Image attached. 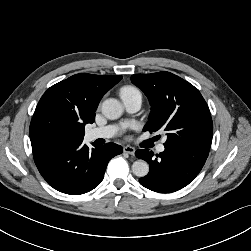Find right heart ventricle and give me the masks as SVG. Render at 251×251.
<instances>
[{
	"label": "right heart ventricle",
	"mask_w": 251,
	"mask_h": 251,
	"mask_svg": "<svg viewBox=\"0 0 251 251\" xmlns=\"http://www.w3.org/2000/svg\"><path fill=\"white\" fill-rule=\"evenodd\" d=\"M140 94L139 90L133 86H125L121 89V96Z\"/></svg>",
	"instance_id": "right-heart-ventricle-1"
}]
</instances>
